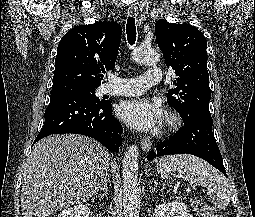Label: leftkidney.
Listing matches in <instances>:
<instances>
[{
  "mask_svg": "<svg viewBox=\"0 0 255 217\" xmlns=\"http://www.w3.org/2000/svg\"><path fill=\"white\" fill-rule=\"evenodd\" d=\"M155 217H193L187 208V206L179 201L175 200L171 203L166 200H162L158 204L154 211Z\"/></svg>",
  "mask_w": 255,
  "mask_h": 217,
  "instance_id": "5707ae66",
  "label": "left kidney"
}]
</instances>
